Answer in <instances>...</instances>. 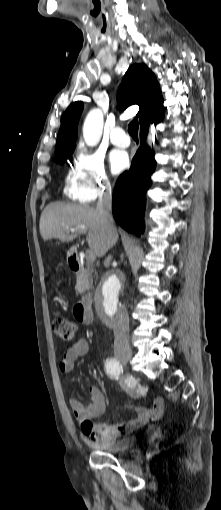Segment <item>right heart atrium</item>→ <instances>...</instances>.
<instances>
[{"label":"right heart atrium","mask_w":221,"mask_h":510,"mask_svg":"<svg viewBox=\"0 0 221 510\" xmlns=\"http://www.w3.org/2000/svg\"><path fill=\"white\" fill-rule=\"evenodd\" d=\"M111 190L103 157L80 148L66 178V192L76 202L90 203Z\"/></svg>","instance_id":"right-heart-atrium-1"}]
</instances>
